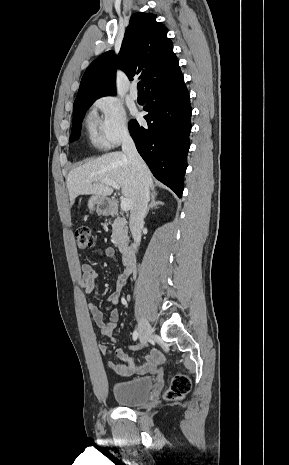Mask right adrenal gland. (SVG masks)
Segmentation results:
<instances>
[{"label":"right adrenal gland","mask_w":289,"mask_h":465,"mask_svg":"<svg viewBox=\"0 0 289 465\" xmlns=\"http://www.w3.org/2000/svg\"><path fill=\"white\" fill-rule=\"evenodd\" d=\"M160 205H164V202L162 201H156V194H152L151 195V202L147 208V211H146V214H145V217L148 215V212L150 209L152 208H157L158 206Z\"/></svg>","instance_id":"1"}]
</instances>
